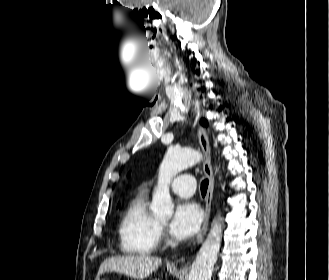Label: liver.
<instances>
[{"mask_svg":"<svg viewBox=\"0 0 329 280\" xmlns=\"http://www.w3.org/2000/svg\"><path fill=\"white\" fill-rule=\"evenodd\" d=\"M161 264V259L147 255L113 256L101 263L95 280H100V276L106 272H116L142 280L156 271Z\"/></svg>","mask_w":329,"mask_h":280,"instance_id":"obj_1","label":"liver"}]
</instances>
